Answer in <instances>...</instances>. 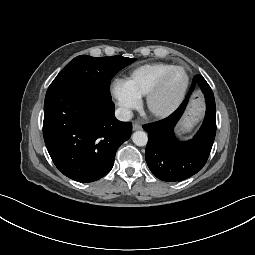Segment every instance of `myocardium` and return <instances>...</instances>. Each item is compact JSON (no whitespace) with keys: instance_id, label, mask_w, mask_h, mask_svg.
Masks as SVG:
<instances>
[{"instance_id":"f54148a6","label":"myocardium","mask_w":255,"mask_h":255,"mask_svg":"<svg viewBox=\"0 0 255 255\" xmlns=\"http://www.w3.org/2000/svg\"><path fill=\"white\" fill-rule=\"evenodd\" d=\"M176 70H182L185 73L186 79H185L184 86L169 106H167L166 108H158L155 104L156 99L163 91L169 77ZM189 84H190V76L188 74L187 69L183 66L172 67L158 80V82L146 95V105L149 112L155 117H159V118H165L170 116L172 113H174L178 109V107L181 105L182 101L184 100L185 95L189 88Z\"/></svg>"}]
</instances>
